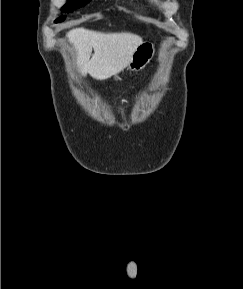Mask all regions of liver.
<instances>
[{
	"label": "liver",
	"mask_w": 243,
	"mask_h": 289,
	"mask_svg": "<svg viewBox=\"0 0 243 289\" xmlns=\"http://www.w3.org/2000/svg\"><path fill=\"white\" fill-rule=\"evenodd\" d=\"M66 37L75 48L77 66L82 75L89 73L97 80L124 70L143 43L142 38L133 33H102L83 27L70 30Z\"/></svg>",
	"instance_id": "6515ba94"
}]
</instances>
